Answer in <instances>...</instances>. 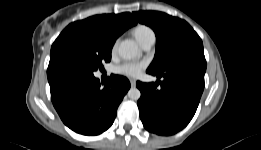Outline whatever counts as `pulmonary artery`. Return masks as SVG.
Returning <instances> with one entry per match:
<instances>
[{
    "mask_svg": "<svg viewBox=\"0 0 261 150\" xmlns=\"http://www.w3.org/2000/svg\"><path fill=\"white\" fill-rule=\"evenodd\" d=\"M155 34L154 33H150L148 34L144 40L140 43L141 47L144 49V50H149L151 49V47L154 45L155 43Z\"/></svg>",
    "mask_w": 261,
    "mask_h": 150,
    "instance_id": "pulmonary-artery-1",
    "label": "pulmonary artery"
}]
</instances>
